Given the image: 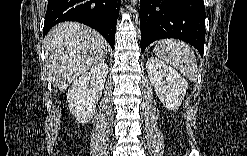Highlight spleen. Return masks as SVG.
<instances>
[{"mask_svg":"<svg viewBox=\"0 0 247 156\" xmlns=\"http://www.w3.org/2000/svg\"><path fill=\"white\" fill-rule=\"evenodd\" d=\"M155 54L179 69L190 81H196L198 68L196 57L190 46L180 40L164 39L157 42Z\"/></svg>","mask_w":247,"mask_h":156,"instance_id":"1","label":"spleen"}]
</instances>
